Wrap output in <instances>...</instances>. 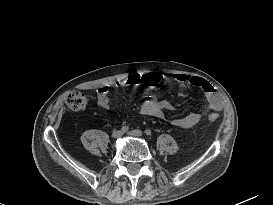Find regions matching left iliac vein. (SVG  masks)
Segmentation results:
<instances>
[{
    "label": "left iliac vein",
    "instance_id": "left-iliac-vein-1",
    "mask_svg": "<svg viewBox=\"0 0 273 205\" xmlns=\"http://www.w3.org/2000/svg\"><path fill=\"white\" fill-rule=\"evenodd\" d=\"M129 135H131L133 137H142L143 136V132L141 130L135 129V130H131L129 132Z\"/></svg>",
    "mask_w": 273,
    "mask_h": 205
}]
</instances>
